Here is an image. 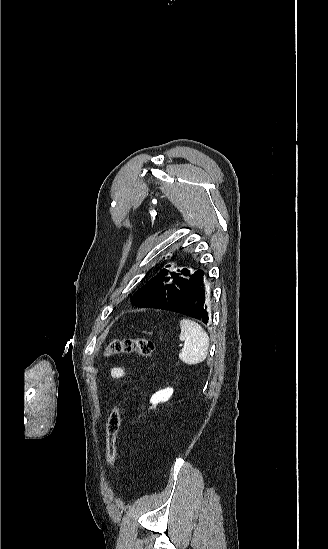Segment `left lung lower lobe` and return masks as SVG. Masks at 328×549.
<instances>
[{
	"instance_id": "left-lung-lower-lobe-1",
	"label": "left lung lower lobe",
	"mask_w": 328,
	"mask_h": 549,
	"mask_svg": "<svg viewBox=\"0 0 328 549\" xmlns=\"http://www.w3.org/2000/svg\"><path fill=\"white\" fill-rule=\"evenodd\" d=\"M207 294L204 287L203 271L198 270L181 279L170 299L158 301L146 308L168 310L187 315L208 323L206 306Z\"/></svg>"
}]
</instances>
